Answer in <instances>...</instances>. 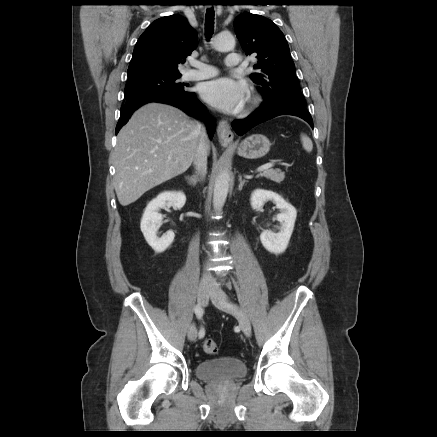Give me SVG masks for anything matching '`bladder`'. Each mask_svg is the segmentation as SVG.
<instances>
[{
	"mask_svg": "<svg viewBox=\"0 0 437 437\" xmlns=\"http://www.w3.org/2000/svg\"><path fill=\"white\" fill-rule=\"evenodd\" d=\"M195 372L203 380H237L246 375L247 368L240 359L222 357L199 362Z\"/></svg>",
	"mask_w": 437,
	"mask_h": 437,
	"instance_id": "1",
	"label": "bladder"
}]
</instances>
